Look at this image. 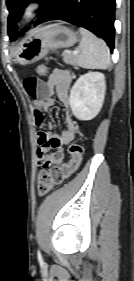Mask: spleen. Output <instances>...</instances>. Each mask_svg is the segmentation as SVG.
<instances>
[{
	"instance_id": "obj_1",
	"label": "spleen",
	"mask_w": 134,
	"mask_h": 281,
	"mask_svg": "<svg viewBox=\"0 0 134 281\" xmlns=\"http://www.w3.org/2000/svg\"><path fill=\"white\" fill-rule=\"evenodd\" d=\"M79 32L82 35L79 44L82 53L77 57L78 65L85 69H107L110 51L106 43L84 28H80Z\"/></svg>"
}]
</instances>
